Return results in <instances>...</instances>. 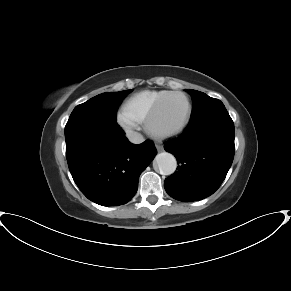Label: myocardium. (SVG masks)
<instances>
[{"instance_id":"1","label":"myocardium","mask_w":291,"mask_h":291,"mask_svg":"<svg viewBox=\"0 0 291 291\" xmlns=\"http://www.w3.org/2000/svg\"><path fill=\"white\" fill-rule=\"evenodd\" d=\"M173 95H181L182 97L185 98L186 104H187L186 119L177 128L168 129V130L160 129L156 124L157 117L159 115V112H160L164 102L167 100V98H169L170 96H173ZM192 115H193V106H192L191 100L188 97V95L184 92H181V91H170L167 94H165L164 96H162L157 101L155 106L152 108V110L150 111V113L146 119V125L148 128V131L156 137H160V138L172 137V136H176V135L182 133L188 127V125L190 124V122L192 120Z\"/></svg>"}]
</instances>
